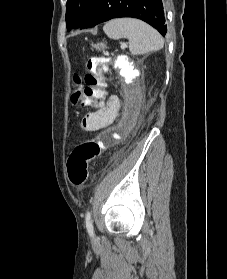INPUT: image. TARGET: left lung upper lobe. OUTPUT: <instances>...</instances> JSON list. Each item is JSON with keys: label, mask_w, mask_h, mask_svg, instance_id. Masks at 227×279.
Returning <instances> with one entry per match:
<instances>
[{"label": "left lung upper lobe", "mask_w": 227, "mask_h": 279, "mask_svg": "<svg viewBox=\"0 0 227 279\" xmlns=\"http://www.w3.org/2000/svg\"><path fill=\"white\" fill-rule=\"evenodd\" d=\"M94 0H67V29L79 28L83 24Z\"/></svg>", "instance_id": "1"}]
</instances>
